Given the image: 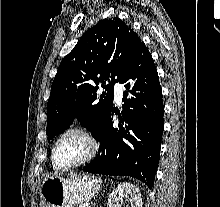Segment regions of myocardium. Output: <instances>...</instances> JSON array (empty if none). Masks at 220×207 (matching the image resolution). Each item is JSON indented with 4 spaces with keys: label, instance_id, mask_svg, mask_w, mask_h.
Here are the masks:
<instances>
[{
    "label": "myocardium",
    "instance_id": "obj_1",
    "mask_svg": "<svg viewBox=\"0 0 220 207\" xmlns=\"http://www.w3.org/2000/svg\"><path fill=\"white\" fill-rule=\"evenodd\" d=\"M69 134H79L82 137H84L89 144V151L86 154V156L83 159H81L80 161L69 164V165L61 166V165H58L56 162L55 152H56V148H57L59 142L65 136H67ZM98 149H99V142L91 131H89L88 129H86L82 126H72V127L65 129L64 131H62L55 139L53 146H52V149H51V161H52L54 168H56L58 170H71V169L78 168V167L90 162L96 156Z\"/></svg>",
    "mask_w": 220,
    "mask_h": 207
}]
</instances>
